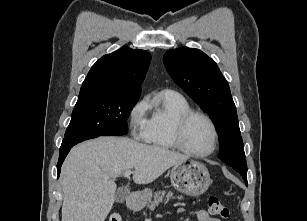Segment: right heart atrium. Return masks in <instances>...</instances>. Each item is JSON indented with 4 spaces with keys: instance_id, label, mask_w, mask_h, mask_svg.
I'll list each match as a JSON object with an SVG mask.
<instances>
[{
    "instance_id": "obj_1",
    "label": "right heart atrium",
    "mask_w": 307,
    "mask_h": 221,
    "mask_svg": "<svg viewBox=\"0 0 307 221\" xmlns=\"http://www.w3.org/2000/svg\"><path fill=\"white\" fill-rule=\"evenodd\" d=\"M148 102L145 99L138 101L130 110L128 121L133 136L138 140H145L148 120L146 112Z\"/></svg>"
}]
</instances>
